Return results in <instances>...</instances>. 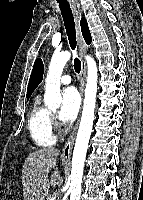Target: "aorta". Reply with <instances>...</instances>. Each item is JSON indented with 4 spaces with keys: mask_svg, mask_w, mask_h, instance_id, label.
Returning <instances> with one entry per match:
<instances>
[{
    "mask_svg": "<svg viewBox=\"0 0 143 200\" xmlns=\"http://www.w3.org/2000/svg\"><path fill=\"white\" fill-rule=\"evenodd\" d=\"M70 57L71 53L69 51H62L60 53H55L51 59L45 81L46 91L44 94L45 105L50 109H56L61 104L60 78L63 68L69 61ZM85 59L87 62V82L82 117L72 157L70 200H80L84 163L92 132L96 105L98 81L97 65L91 56L87 55Z\"/></svg>",
    "mask_w": 143,
    "mask_h": 200,
    "instance_id": "1",
    "label": "aorta"
}]
</instances>
